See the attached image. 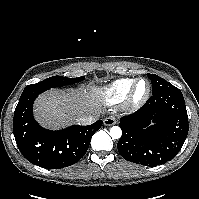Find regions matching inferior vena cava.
<instances>
[{
	"label": "inferior vena cava",
	"instance_id": "inferior-vena-cava-1",
	"mask_svg": "<svg viewBox=\"0 0 199 199\" xmlns=\"http://www.w3.org/2000/svg\"><path fill=\"white\" fill-rule=\"evenodd\" d=\"M99 117H100L99 113L84 115L77 120V123L80 125H90L95 121H97Z\"/></svg>",
	"mask_w": 199,
	"mask_h": 199
}]
</instances>
